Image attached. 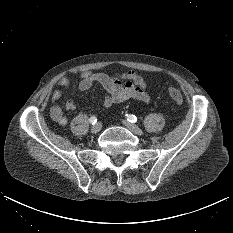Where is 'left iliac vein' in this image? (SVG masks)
Returning <instances> with one entry per match:
<instances>
[{
    "mask_svg": "<svg viewBox=\"0 0 233 233\" xmlns=\"http://www.w3.org/2000/svg\"><path fill=\"white\" fill-rule=\"evenodd\" d=\"M123 124L133 133L137 134V135H142V130L135 124L124 120Z\"/></svg>",
    "mask_w": 233,
    "mask_h": 233,
    "instance_id": "4c4485c4",
    "label": "left iliac vein"
}]
</instances>
